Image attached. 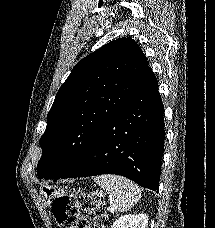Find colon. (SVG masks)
I'll use <instances>...</instances> for the list:
<instances>
[{
	"label": "colon",
	"instance_id": "obj_1",
	"mask_svg": "<svg viewBox=\"0 0 215 228\" xmlns=\"http://www.w3.org/2000/svg\"><path fill=\"white\" fill-rule=\"evenodd\" d=\"M52 212L63 228H99L101 219L106 216V205L89 194H80L76 199L63 195L52 200ZM80 212L87 213L89 219Z\"/></svg>",
	"mask_w": 215,
	"mask_h": 228
}]
</instances>
